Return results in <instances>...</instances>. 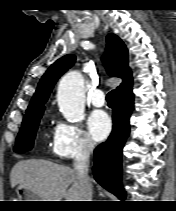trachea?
<instances>
[{
  "mask_svg": "<svg viewBox=\"0 0 176 211\" xmlns=\"http://www.w3.org/2000/svg\"><path fill=\"white\" fill-rule=\"evenodd\" d=\"M113 95H114V91H110L107 96H106V100L108 103H112L113 102Z\"/></svg>",
  "mask_w": 176,
  "mask_h": 211,
  "instance_id": "trachea-1",
  "label": "trachea"
}]
</instances>
